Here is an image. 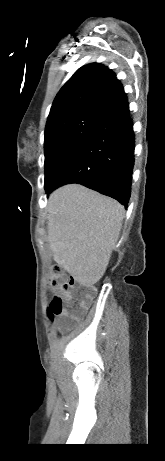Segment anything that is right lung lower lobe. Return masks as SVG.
I'll list each match as a JSON object with an SVG mask.
<instances>
[{"label": "right lung lower lobe", "instance_id": "right-lung-lower-lobe-1", "mask_svg": "<svg viewBox=\"0 0 165 461\" xmlns=\"http://www.w3.org/2000/svg\"><path fill=\"white\" fill-rule=\"evenodd\" d=\"M129 108L104 120L66 160L46 193L79 183L127 207L134 166L135 137Z\"/></svg>", "mask_w": 165, "mask_h": 461}]
</instances>
